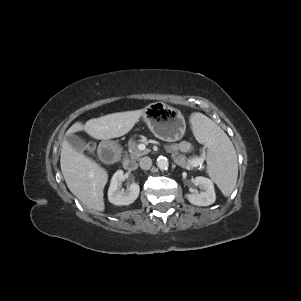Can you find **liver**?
Instances as JSON below:
<instances>
[{"label": "liver", "mask_w": 301, "mask_h": 301, "mask_svg": "<svg viewBox=\"0 0 301 301\" xmlns=\"http://www.w3.org/2000/svg\"><path fill=\"white\" fill-rule=\"evenodd\" d=\"M143 113V110L126 111L90 119L85 125L77 122L68 134L85 131L98 140L118 138L130 132ZM60 166L69 190L88 208L104 211L103 190L108 181L107 172L75 151L66 140L62 143Z\"/></svg>", "instance_id": "obj_1"}]
</instances>
